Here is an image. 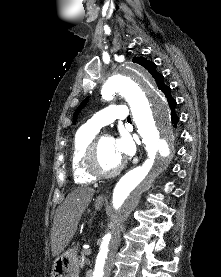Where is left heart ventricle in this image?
Here are the masks:
<instances>
[{
    "mask_svg": "<svg viewBox=\"0 0 221 277\" xmlns=\"http://www.w3.org/2000/svg\"><path fill=\"white\" fill-rule=\"evenodd\" d=\"M120 162L121 159L115 150L113 140L109 138H103L100 141L98 148V168L103 172L112 171L120 164Z\"/></svg>",
    "mask_w": 221,
    "mask_h": 277,
    "instance_id": "1",
    "label": "left heart ventricle"
}]
</instances>
